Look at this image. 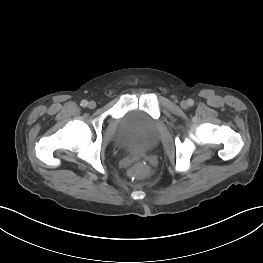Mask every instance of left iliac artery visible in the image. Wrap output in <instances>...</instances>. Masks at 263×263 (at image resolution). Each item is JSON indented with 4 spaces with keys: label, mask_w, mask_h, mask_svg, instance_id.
Listing matches in <instances>:
<instances>
[{
    "label": "left iliac artery",
    "mask_w": 263,
    "mask_h": 263,
    "mask_svg": "<svg viewBox=\"0 0 263 263\" xmlns=\"http://www.w3.org/2000/svg\"><path fill=\"white\" fill-rule=\"evenodd\" d=\"M193 104H194V101H193L192 99H189V100H188V105H189V106H192Z\"/></svg>",
    "instance_id": "left-iliac-artery-1"
}]
</instances>
